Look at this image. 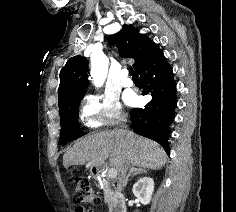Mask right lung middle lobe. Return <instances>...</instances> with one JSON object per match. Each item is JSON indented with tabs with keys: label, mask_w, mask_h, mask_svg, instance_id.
<instances>
[{
	"label": "right lung middle lobe",
	"mask_w": 236,
	"mask_h": 212,
	"mask_svg": "<svg viewBox=\"0 0 236 212\" xmlns=\"http://www.w3.org/2000/svg\"><path fill=\"white\" fill-rule=\"evenodd\" d=\"M82 98L83 96L78 97L77 99L71 101L67 107L60 110V144H64L85 135V133L78 126L79 104Z\"/></svg>",
	"instance_id": "obj_1"
}]
</instances>
